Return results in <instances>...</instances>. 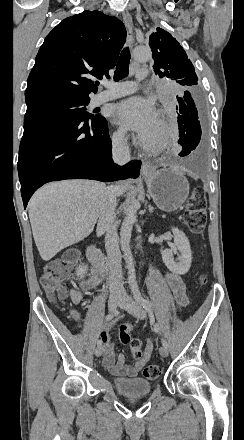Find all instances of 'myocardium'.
Listing matches in <instances>:
<instances>
[{
    "mask_svg": "<svg viewBox=\"0 0 244 440\" xmlns=\"http://www.w3.org/2000/svg\"><path fill=\"white\" fill-rule=\"evenodd\" d=\"M158 115L161 117V119H162V123H163V125H164V127L166 128L167 127V120H166V117H167V113L165 112V111H159V113H158ZM161 137V136H160ZM160 139V138H159Z\"/></svg>",
    "mask_w": 244,
    "mask_h": 440,
    "instance_id": "obj_1",
    "label": "myocardium"
}]
</instances>
